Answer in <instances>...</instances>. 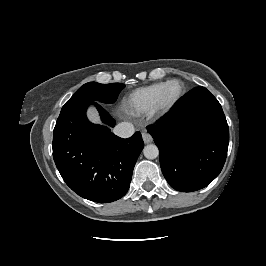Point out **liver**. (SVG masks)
Here are the masks:
<instances>
[{
  "label": "liver",
  "mask_w": 266,
  "mask_h": 266,
  "mask_svg": "<svg viewBox=\"0 0 266 266\" xmlns=\"http://www.w3.org/2000/svg\"><path fill=\"white\" fill-rule=\"evenodd\" d=\"M87 114H88V118H89V120L91 122H93V123H101L99 115H98L97 111L94 108H90L88 110Z\"/></svg>",
  "instance_id": "liver-1"
}]
</instances>
